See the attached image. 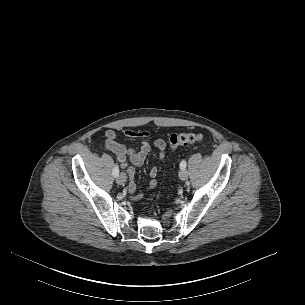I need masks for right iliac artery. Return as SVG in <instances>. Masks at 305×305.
Masks as SVG:
<instances>
[{"mask_svg": "<svg viewBox=\"0 0 305 305\" xmlns=\"http://www.w3.org/2000/svg\"><path fill=\"white\" fill-rule=\"evenodd\" d=\"M112 174L114 177H117L119 175V168L117 164L114 166Z\"/></svg>", "mask_w": 305, "mask_h": 305, "instance_id": "obj_1", "label": "right iliac artery"}]
</instances>
